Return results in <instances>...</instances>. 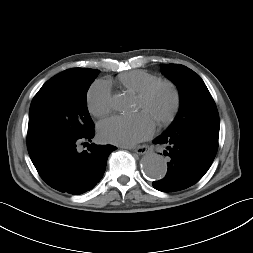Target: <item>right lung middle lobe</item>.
I'll use <instances>...</instances> for the list:
<instances>
[{
	"label": "right lung middle lobe",
	"mask_w": 253,
	"mask_h": 253,
	"mask_svg": "<svg viewBox=\"0 0 253 253\" xmlns=\"http://www.w3.org/2000/svg\"><path fill=\"white\" fill-rule=\"evenodd\" d=\"M98 73L88 68L65 70L48 80L34 96L27 134L31 160L94 129L86 93Z\"/></svg>",
	"instance_id": "1"
}]
</instances>
